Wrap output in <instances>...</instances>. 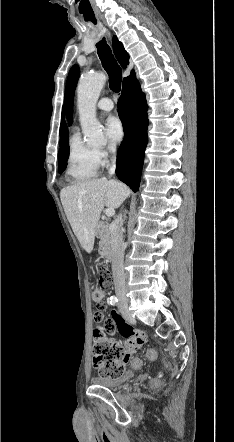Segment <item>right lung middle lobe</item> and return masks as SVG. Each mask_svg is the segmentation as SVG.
I'll return each instance as SVG.
<instances>
[{"instance_id":"dd1d6c3e","label":"right lung middle lobe","mask_w":234,"mask_h":442,"mask_svg":"<svg viewBox=\"0 0 234 442\" xmlns=\"http://www.w3.org/2000/svg\"><path fill=\"white\" fill-rule=\"evenodd\" d=\"M69 157V147L68 142L60 147L59 149V173H62L67 166V159Z\"/></svg>"}]
</instances>
